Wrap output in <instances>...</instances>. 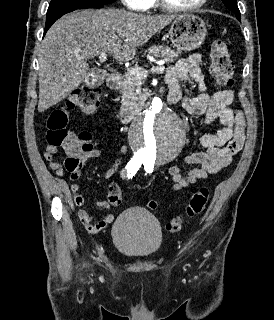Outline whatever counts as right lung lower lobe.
<instances>
[{"label": "right lung lower lobe", "instance_id": "right-lung-lower-lobe-1", "mask_svg": "<svg viewBox=\"0 0 274 320\" xmlns=\"http://www.w3.org/2000/svg\"><path fill=\"white\" fill-rule=\"evenodd\" d=\"M103 6L104 5H93V6H86V7L71 8V9H66V10L54 13V14H52L50 16H47V18H46V26H45V29H44V35L46 34L47 30L52 26V24L57 19H59L61 16H63L64 14H67V13L72 12V11L77 10V9L102 8Z\"/></svg>", "mask_w": 274, "mask_h": 320}]
</instances>
